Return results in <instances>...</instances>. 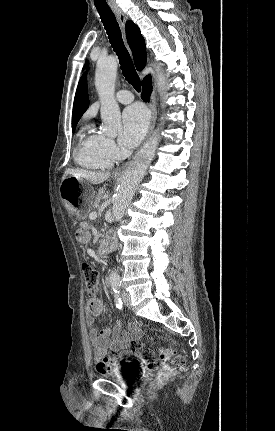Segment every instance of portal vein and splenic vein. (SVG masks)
I'll list each match as a JSON object with an SVG mask.
<instances>
[{
  "instance_id": "1",
  "label": "portal vein and splenic vein",
  "mask_w": 275,
  "mask_h": 431,
  "mask_svg": "<svg viewBox=\"0 0 275 431\" xmlns=\"http://www.w3.org/2000/svg\"><path fill=\"white\" fill-rule=\"evenodd\" d=\"M89 218L91 220L96 219L97 218V213L96 212H91L90 215H89Z\"/></svg>"
}]
</instances>
